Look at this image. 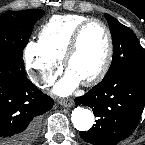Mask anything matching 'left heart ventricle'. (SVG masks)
Segmentation results:
<instances>
[{"mask_svg": "<svg viewBox=\"0 0 145 145\" xmlns=\"http://www.w3.org/2000/svg\"><path fill=\"white\" fill-rule=\"evenodd\" d=\"M107 51V37L103 28L92 23L81 36L79 48L72 58L68 72L80 80L92 76L101 66Z\"/></svg>", "mask_w": 145, "mask_h": 145, "instance_id": "b2bd125f", "label": "left heart ventricle"}]
</instances>
